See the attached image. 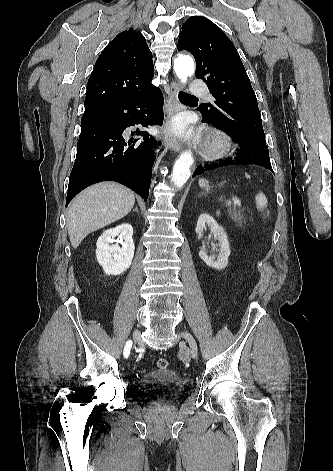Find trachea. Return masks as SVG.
<instances>
[{
  "label": "trachea",
  "mask_w": 333,
  "mask_h": 471,
  "mask_svg": "<svg viewBox=\"0 0 333 471\" xmlns=\"http://www.w3.org/2000/svg\"><path fill=\"white\" fill-rule=\"evenodd\" d=\"M178 97L180 101L189 100V99H197L195 96H192L184 92H179Z\"/></svg>",
  "instance_id": "trachea-1"
}]
</instances>
